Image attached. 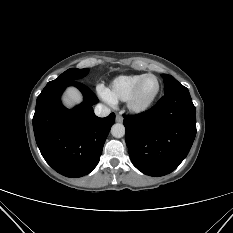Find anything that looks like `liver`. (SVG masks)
<instances>
[{
	"label": "liver",
	"instance_id": "1",
	"mask_svg": "<svg viewBox=\"0 0 233 233\" xmlns=\"http://www.w3.org/2000/svg\"><path fill=\"white\" fill-rule=\"evenodd\" d=\"M62 101L65 106L71 108L82 102V95L76 88L69 87L63 94Z\"/></svg>",
	"mask_w": 233,
	"mask_h": 233
}]
</instances>
